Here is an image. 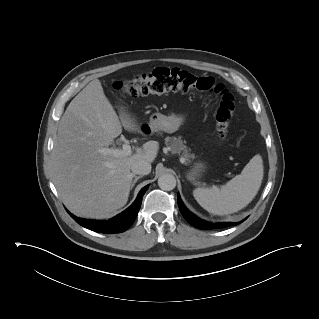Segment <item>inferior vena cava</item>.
Instances as JSON below:
<instances>
[{
	"label": "inferior vena cava",
	"mask_w": 319,
	"mask_h": 319,
	"mask_svg": "<svg viewBox=\"0 0 319 319\" xmlns=\"http://www.w3.org/2000/svg\"><path fill=\"white\" fill-rule=\"evenodd\" d=\"M131 171L134 174L147 175L151 172V164L143 159L136 160L131 164Z\"/></svg>",
	"instance_id": "1"
}]
</instances>
